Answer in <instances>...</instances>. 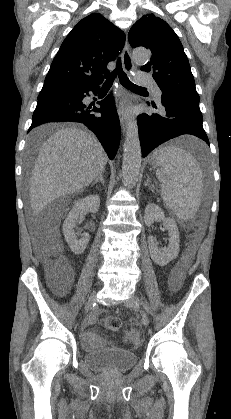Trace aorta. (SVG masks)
<instances>
[{"label":"aorta","mask_w":231,"mask_h":419,"mask_svg":"<svg viewBox=\"0 0 231 419\" xmlns=\"http://www.w3.org/2000/svg\"><path fill=\"white\" fill-rule=\"evenodd\" d=\"M132 57L137 63H146L150 58V54L146 49H135ZM123 148L122 176L124 183L128 187H132L138 181L142 158L138 124L134 115H130L127 119Z\"/></svg>","instance_id":"1"}]
</instances>
